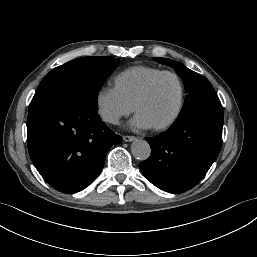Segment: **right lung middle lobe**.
Listing matches in <instances>:
<instances>
[{
  "label": "right lung middle lobe",
  "mask_w": 257,
  "mask_h": 257,
  "mask_svg": "<svg viewBox=\"0 0 257 257\" xmlns=\"http://www.w3.org/2000/svg\"><path fill=\"white\" fill-rule=\"evenodd\" d=\"M119 63L118 58L100 56L58 66L42 79L30 105L71 100L98 111V92Z\"/></svg>",
  "instance_id": "right-lung-middle-lobe-1"
}]
</instances>
